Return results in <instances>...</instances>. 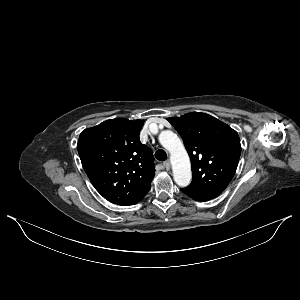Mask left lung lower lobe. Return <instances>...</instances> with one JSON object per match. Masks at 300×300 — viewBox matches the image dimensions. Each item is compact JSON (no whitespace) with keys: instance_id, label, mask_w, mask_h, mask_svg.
Segmentation results:
<instances>
[{"instance_id":"obj_1","label":"left lung lower lobe","mask_w":300,"mask_h":300,"mask_svg":"<svg viewBox=\"0 0 300 300\" xmlns=\"http://www.w3.org/2000/svg\"><path fill=\"white\" fill-rule=\"evenodd\" d=\"M181 191L196 201H208L210 199L217 197L216 195L199 193V192L193 191L191 189H188L187 187L182 188Z\"/></svg>"}]
</instances>
